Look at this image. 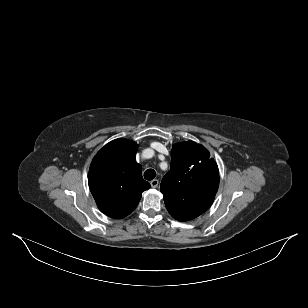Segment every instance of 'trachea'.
I'll list each match as a JSON object with an SVG mask.
<instances>
[{
    "instance_id": "1",
    "label": "trachea",
    "mask_w": 308,
    "mask_h": 308,
    "mask_svg": "<svg viewBox=\"0 0 308 308\" xmlns=\"http://www.w3.org/2000/svg\"><path fill=\"white\" fill-rule=\"evenodd\" d=\"M156 176V172L153 170V169H147L145 172H144V178L146 180H152L154 179Z\"/></svg>"
}]
</instances>
